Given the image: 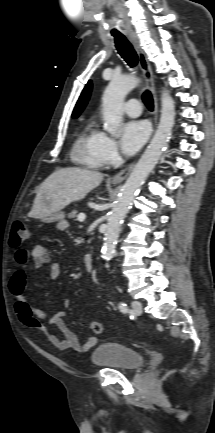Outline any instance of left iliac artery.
Listing matches in <instances>:
<instances>
[{"mask_svg":"<svg viewBox=\"0 0 215 433\" xmlns=\"http://www.w3.org/2000/svg\"><path fill=\"white\" fill-rule=\"evenodd\" d=\"M119 309H120V311L123 312V313H127V312H128L127 304H125V303H123V302H120V303H119Z\"/></svg>","mask_w":215,"mask_h":433,"instance_id":"44dca946","label":"left iliac artery"}]
</instances>
